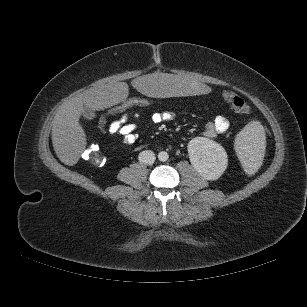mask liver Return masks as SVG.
I'll list each match as a JSON object with an SVG mask.
<instances>
[{
	"label": "liver",
	"instance_id": "6515ba94",
	"mask_svg": "<svg viewBox=\"0 0 307 307\" xmlns=\"http://www.w3.org/2000/svg\"><path fill=\"white\" fill-rule=\"evenodd\" d=\"M133 84L137 92L151 99L213 95L216 92L213 82L168 73L138 75ZM127 96V83L119 82L88 89L64 103L55 114L51 133L53 148L60 161L68 166L75 165L86 147V134L79 124L84 106L91 110H103L122 102Z\"/></svg>",
	"mask_w": 307,
	"mask_h": 307
}]
</instances>
